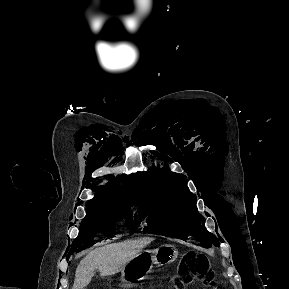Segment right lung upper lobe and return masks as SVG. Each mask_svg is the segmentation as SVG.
<instances>
[{"instance_id": "obj_1", "label": "right lung upper lobe", "mask_w": 289, "mask_h": 289, "mask_svg": "<svg viewBox=\"0 0 289 289\" xmlns=\"http://www.w3.org/2000/svg\"><path fill=\"white\" fill-rule=\"evenodd\" d=\"M111 182L105 186L96 188L94 198L87 202V204H108L119 202L136 203V193L129 185L128 177L110 178Z\"/></svg>"}]
</instances>
